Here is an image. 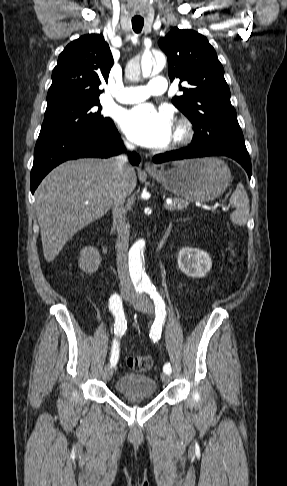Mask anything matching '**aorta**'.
Returning <instances> with one entry per match:
<instances>
[{
    "label": "aorta",
    "instance_id": "1",
    "mask_svg": "<svg viewBox=\"0 0 287 486\" xmlns=\"http://www.w3.org/2000/svg\"><path fill=\"white\" fill-rule=\"evenodd\" d=\"M166 60L164 57H157L156 64L153 66V61L147 60L142 64V74L144 77L148 76L151 71L159 72L165 66ZM153 66V70H152ZM145 240L139 239L129 250V267L132 277L137 279L143 286H151L150 279L145 274L142 263L144 258Z\"/></svg>",
    "mask_w": 287,
    "mask_h": 486
}]
</instances>
